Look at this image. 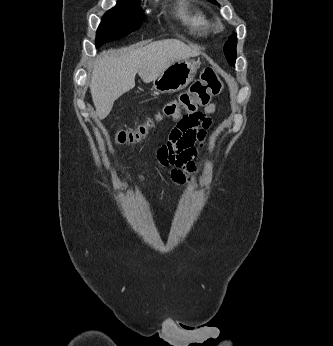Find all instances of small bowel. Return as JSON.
<instances>
[{
	"mask_svg": "<svg viewBox=\"0 0 333 346\" xmlns=\"http://www.w3.org/2000/svg\"><path fill=\"white\" fill-rule=\"evenodd\" d=\"M215 108V104H209L205 107V115L180 119L167 142L158 149L157 159L164 167L170 168L174 182L183 184L187 174L195 171L199 150L193 144L205 142Z\"/></svg>",
	"mask_w": 333,
	"mask_h": 346,
	"instance_id": "c3829d8e",
	"label": "small bowel"
}]
</instances>
